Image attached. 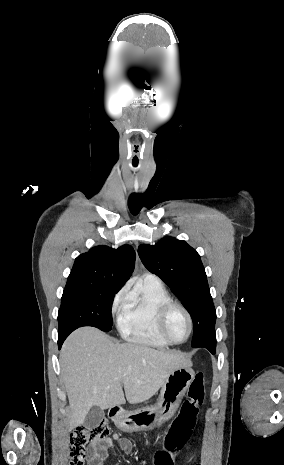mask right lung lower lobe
<instances>
[{
    "mask_svg": "<svg viewBox=\"0 0 284 465\" xmlns=\"http://www.w3.org/2000/svg\"><path fill=\"white\" fill-rule=\"evenodd\" d=\"M71 332H72V331H67V332L58 334V347H59V349H61V346H62L63 342L65 341V339L68 337V335H69Z\"/></svg>",
    "mask_w": 284,
    "mask_h": 465,
    "instance_id": "obj_1",
    "label": "right lung lower lobe"
}]
</instances>
